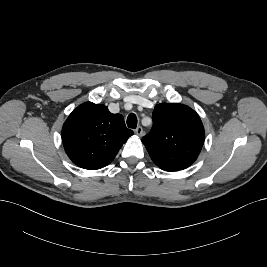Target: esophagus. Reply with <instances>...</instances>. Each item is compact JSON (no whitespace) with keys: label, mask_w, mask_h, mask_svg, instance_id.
<instances>
[{"label":"esophagus","mask_w":267,"mask_h":267,"mask_svg":"<svg viewBox=\"0 0 267 267\" xmlns=\"http://www.w3.org/2000/svg\"><path fill=\"white\" fill-rule=\"evenodd\" d=\"M135 134L137 136H142L143 135V128L141 126H138L136 129H135Z\"/></svg>","instance_id":"esophagus-1"}]
</instances>
